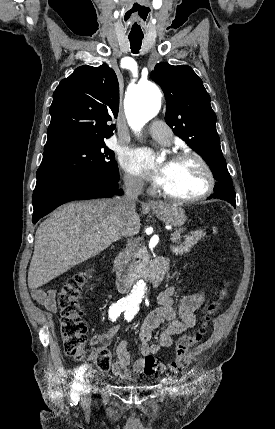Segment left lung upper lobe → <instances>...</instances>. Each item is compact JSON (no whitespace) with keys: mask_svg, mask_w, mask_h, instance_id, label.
I'll return each mask as SVG.
<instances>
[{"mask_svg":"<svg viewBox=\"0 0 275 429\" xmlns=\"http://www.w3.org/2000/svg\"><path fill=\"white\" fill-rule=\"evenodd\" d=\"M151 75L165 94L166 123L175 135L208 163L218 181L215 192L230 195L235 200L234 187L216 131V115L202 80L190 66H172L164 62L157 64Z\"/></svg>","mask_w":275,"mask_h":429,"instance_id":"1","label":"left lung upper lobe"}]
</instances>
